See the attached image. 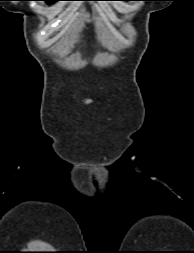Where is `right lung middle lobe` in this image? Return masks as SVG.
Wrapping results in <instances>:
<instances>
[{
  "label": "right lung middle lobe",
  "instance_id": "obj_1",
  "mask_svg": "<svg viewBox=\"0 0 194 253\" xmlns=\"http://www.w3.org/2000/svg\"><path fill=\"white\" fill-rule=\"evenodd\" d=\"M41 1H46L47 3L52 4L54 2L63 1V0H41Z\"/></svg>",
  "mask_w": 194,
  "mask_h": 253
}]
</instances>
